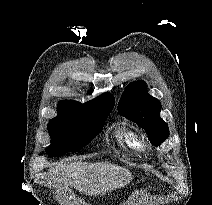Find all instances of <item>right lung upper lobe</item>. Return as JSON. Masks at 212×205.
<instances>
[{
	"instance_id": "right-lung-upper-lobe-1",
	"label": "right lung upper lobe",
	"mask_w": 212,
	"mask_h": 205,
	"mask_svg": "<svg viewBox=\"0 0 212 205\" xmlns=\"http://www.w3.org/2000/svg\"><path fill=\"white\" fill-rule=\"evenodd\" d=\"M115 99L113 95L110 93H104L98 98H95L94 100L87 102V103H80L77 101H60L58 104V116H61L62 114L71 111V110H77V109H92L97 107H104V106H114Z\"/></svg>"
}]
</instances>
